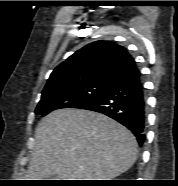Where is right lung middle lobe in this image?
Here are the masks:
<instances>
[{"mask_svg": "<svg viewBox=\"0 0 178 186\" xmlns=\"http://www.w3.org/2000/svg\"><path fill=\"white\" fill-rule=\"evenodd\" d=\"M109 84L89 83L70 88L42 92L41 100L35 110L37 115L45 116L61 108H78L98 96Z\"/></svg>", "mask_w": 178, "mask_h": 186, "instance_id": "obj_1", "label": "right lung middle lobe"}]
</instances>
